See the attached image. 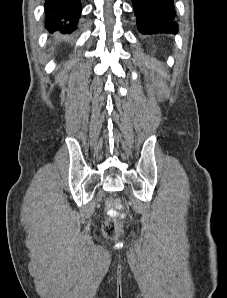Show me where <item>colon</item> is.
I'll list each match as a JSON object with an SVG mask.
<instances>
[{
    "label": "colon",
    "instance_id": "obj_1",
    "mask_svg": "<svg viewBox=\"0 0 227 298\" xmlns=\"http://www.w3.org/2000/svg\"><path fill=\"white\" fill-rule=\"evenodd\" d=\"M122 213L118 206L110 208L103 224V234L109 240H115L122 234Z\"/></svg>",
    "mask_w": 227,
    "mask_h": 298
}]
</instances>
